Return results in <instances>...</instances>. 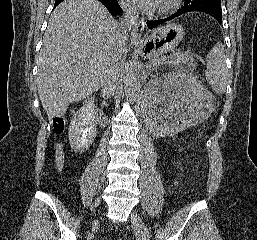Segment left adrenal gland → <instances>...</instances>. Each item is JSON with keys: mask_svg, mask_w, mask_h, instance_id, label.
Returning <instances> with one entry per match:
<instances>
[{"mask_svg": "<svg viewBox=\"0 0 257 240\" xmlns=\"http://www.w3.org/2000/svg\"><path fill=\"white\" fill-rule=\"evenodd\" d=\"M148 73H149L148 71H144V72H143V78H144V80H145L146 77L148 76Z\"/></svg>", "mask_w": 257, "mask_h": 240, "instance_id": "1", "label": "left adrenal gland"}]
</instances>
